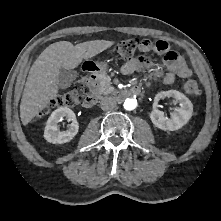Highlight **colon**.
Listing matches in <instances>:
<instances>
[{"label":"colon","mask_w":221,"mask_h":221,"mask_svg":"<svg viewBox=\"0 0 221 221\" xmlns=\"http://www.w3.org/2000/svg\"><path fill=\"white\" fill-rule=\"evenodd\" d=\"M142 44L143 40L138 38L126 39L116 45L115 52L123 59H131ZM92 86L93 79L87 75L82 76L76 81L74 90L58 95L52 100L51 105L53 107H73L79 105L90 94ZM184 89L193 97H199L201 94L199 85L194 79H188L185 82Z\"/></svg>","instance_id":"obj_1"}]
</instances>
